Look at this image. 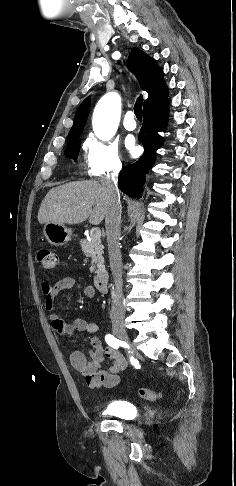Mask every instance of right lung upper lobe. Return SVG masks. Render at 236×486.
<instances>
[{"instance_id":"obj_1","label":"right lung upper lobe","mask_w":236,"mask_h":486,"mask_svg":"<svg viewBox=\"0 0 236 486\" xmlns=\"http://www.w3.org/2000/svg\"><path fill=\"white\" fill-rule=\"evenodd\" d=\"M130 62L134 65V71L141 88L149 95L144 106L167 94L168 89L163 80V72L158 68L153 58L142 50L133 48L130 53ZM89 109L90 97L86 98L76 111L74 124L68 134V142L79 139L87 121Z\"/></svg>"}]
</instances>
